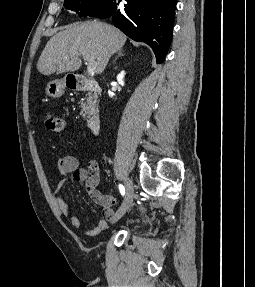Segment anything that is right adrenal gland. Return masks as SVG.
<instances>
[{"label":"right adrenal gland","mask_w":255,"mask_h":287,"mask_svg":"<svg viewBox=\"0 0 255 287\" xmlns=\"http://www.w3.org/2000/svg\"><path fill=\"white\" fill-rule=\"evenodd\" d=\"M119 56H125V54H123L122 50H120V52H118V56H116L113 64H115L116 60H118Z\"/></svg>","instance_id":"obj_1"}]
</instances>
